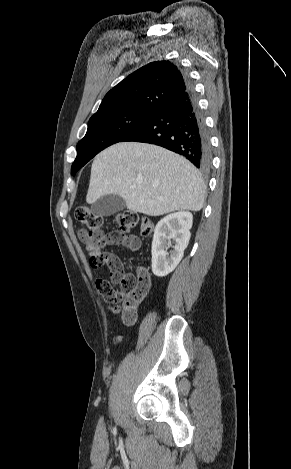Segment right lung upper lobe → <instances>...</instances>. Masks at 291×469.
Returning a JSON list of instances; mask_svg holds the SVG:
<instances>
[{
	"instance_id": "cb5924a9",
	"label": "right lung upper lobe",
	"mask_w": 291,
	"mask_h": 469,
	"mask_svg": "<svg viewBox=\"0 0 291 469\" xmlns=\"http://www.w3.org/2000/svg\"><path fill=\"white\" fill-rule=\"evenodd\" d=\"M186 89V77L174 64L170 61L151 62L112 88L91 118L131 109L154 111L163 102Z\"/></svg>"
}]
</instances>
